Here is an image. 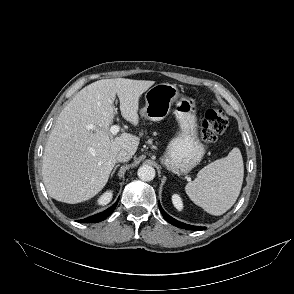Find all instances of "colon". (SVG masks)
Listing matches in <instances>:
<instances>
[{"label":"colon","mask_w":294,"mask_h":294,"mask_svg":"<svg viewBox=\"0 0 294 294\" xmlns=\"http://www.w3.org/2000/svg\"><path fill=\"white\" fill-rule=\"evenodd\" d=\"M228 119L224 112L218 107H212L205 113L201 124L200 138L205 144L212 143L225 132Z\"/></svg>","instance_id":"5ec220e1"}]
</instances>
